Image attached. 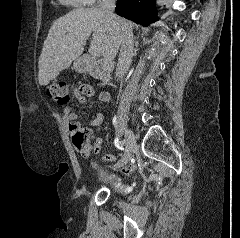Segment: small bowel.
Masks as SVG:
<instances>
[{"label": "small bowel", "mask_w": 240, "mask_h": 238, "mask_svg": "<svg viewBox=\"0 0 240 238\" xmlns=\"http://www.w3.org/2000/svg\"><path fill=\"white\" fill-rule=\"evenodd\" d=\"M73 96L80 102V103H86L88 99H90L91 97H93L94 95V89L92 86L88 85V84H80L78 87L74 88L72 91ZM98 99L101 102H108L111 100V96L106 93V92H102L99 94ZM63 117L64 120L66 122V124L69 126L71 123H75L79 128H81L82 123L79 120L78 116L73 113L71 111V109L67 106L63 107ZM104 120V115L101 113H98L94 116V118L92 119L90 126L93 128L98 129L99 126L102 124ZM90 131L91 135L90 138H94L95 134ZM101 143H102V139L101 138H96L95 142H94V147H93V154H95L94 156L97 157L96 154H100V150H101ZM78 150H82L77 148ZM118 154H104L103 158L106 160V162H115V159H118ZM100 160V159H98ZM120 160V159H118ZM98 164V163H97ZM120 164V163H119ZM121 170L119 171L120 175H134L135 171L133 170V164H121L120 165Z\"/></svg>", "instance_id": "small-bowel-1"}]
</instances>
